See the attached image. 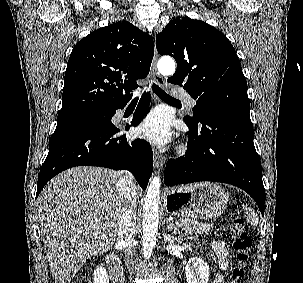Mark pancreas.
<instances>
[{"mask_svg":"<svg viewBox=\"0 0 303 283\" xmlns=\"http://www.w3.org/2000/svg\"><path fill=\"white\" fill-rule=\"evenodd\" d=\"M177 222L180 223V227L188 235L208 234L209 231L213 228V225H211V224L198 222L197 220L190 219V218L180 217Z\"/></svg>","mask_w":303,"mask_h":283,"instance_id":"obj_1","label":"pancreas"}]
</instances>
